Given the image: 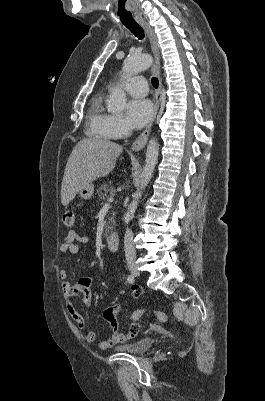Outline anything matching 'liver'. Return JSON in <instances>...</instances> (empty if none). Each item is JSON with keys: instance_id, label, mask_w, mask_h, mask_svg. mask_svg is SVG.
<instances>
[{"instance_id": "obj_1", "label": "liver", "mask_w": 265, "mask_h": 401, "mask_svg": "<svg viewBox=\"0 0 265 401\" xmlns=\"http://www.w3.org/2000/svg\"><path fill=\"white\" fill-rule=\"evenodd\" d=\"M123 148L105 138H82L74 146L66 164L62 186L61 203L69 205L84 184L113 170L117 156Z\"/></svg>"}]
</instances>
